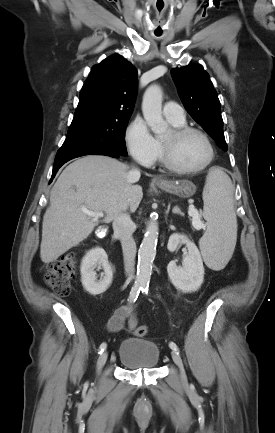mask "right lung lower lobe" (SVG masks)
<instances>
[{
    "instance_id": "obj_1",
    "label": "right lung lower lobe",
    "mask_w": 275,
    "mask_h": 433,
    "mask_svg": "<svg viewBox=\"0 0 275 433\" xmlns=\"http://www.w3.org/2000/svg\"><path fill=\"white\" fill-rule=\"evenodd\" d=\"M86 155H105V156H110V157H114V158H118L119 155L115 154V153H111V152H95V153H91V154H86ZM83 156V155H80ZM80 156H71V157H66L63 159H59V160H55L54 162V167H53V172H52V178L50 180V182L53 180V178L55 177L57 171L59 170V168L65 164L66 162H68L71 159H74L76 157H80Z\"/></svg>"
}]
</instances>
